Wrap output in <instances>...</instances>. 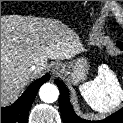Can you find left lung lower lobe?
<instances>
[{"instance_id": "left-lung-lower-lobe-1", "label": "left lung lower lobe", "mask_w": 123, "mask_h": 123, "mask_svg": "<svg viewBox=\"0 0 123 123\" xmlns=\"http://www.w3.org/2000/svg\"><path fill=\"white\" fill-rule=\"evenodd\" d=\"M117 45L123 50V42L118 41ZM55 84L60 89L59 106L64 123H123V108L101 121H88L78 117L70 104L68 89L57 79Z\"/></svg>"}]
</instances>
